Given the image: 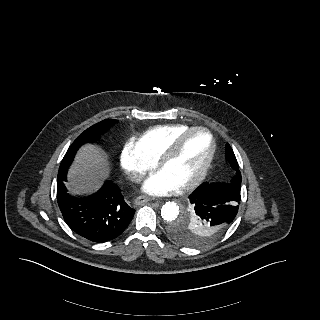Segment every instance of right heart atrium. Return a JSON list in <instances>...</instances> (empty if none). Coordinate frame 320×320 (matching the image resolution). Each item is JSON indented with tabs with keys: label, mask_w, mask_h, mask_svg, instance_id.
Returning <instances> with one entry per match:
<instances>
[{
	"label": "right heart atrium",
	"mask_w": 320,
	"mask_h": 320,
	"mask_svg": "<svg viewBox=\"0 0 320 320\" xmlns=\"http://www.w3.org/2000/svg\"><path fill=\"white\" fill-rule=\"evenodd\" d=\"M120 164L127 177L135 183L141 181L155 166V162L144 156L134 142L124 146Z\"/></svg>",
	"instance_id": "d8ad5b80"
}]
</instances>
